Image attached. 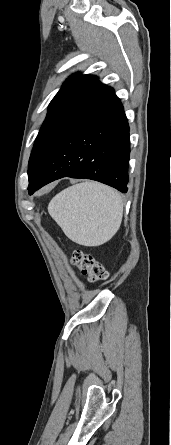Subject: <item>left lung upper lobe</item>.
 Masks as SVG:
<instances>
[{
  "label": "left lung upper lobe",
  "instance_id": "5c2ea615",
  "mask_svg": "<svg viewBox=\"0 0 171 445\" xmlns=\"http://www.w3.org/2000/svg\"><path fill=\"white\" fill-rule=\"evenodd\" d=\"M114 93L92 75L74 74L49 104L47 117L35 140L28 164V178L33 179L50 153L87 112Z\"/></svg>",
  "mask_w": 171,
  "mask_h": 445
}]
</instances>
